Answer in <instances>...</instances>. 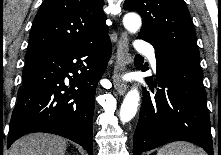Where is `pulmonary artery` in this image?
Masks as SVG:
<instances>
[{"mask_svg":"<svg viewBox=\"0 0 221 155\" xmlns=\"http://www.w3.org/2000/svg\"><path fill=\"white\" fill-rule=\"evenodd\" d=\"M137 49L140 52L145 53L148 56L152 66L156 67V57L152 46L144 42H139L137 45Z\"/></svg>","mask_w":221,"mask_h":155,"instance_id":"obj_1","label":"pulmonary artery"}]
</instances>
